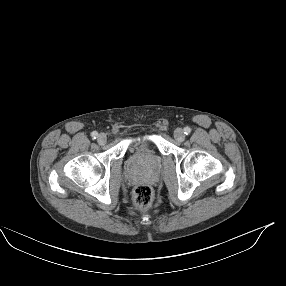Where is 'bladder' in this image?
Instances as JSON below:
<instances>
[{"label": "bladder", "instance_id": "bladder-1", "mask_svg": "<svg viewBox=\"0 0 286 286\" xmlns=\"http://www.w3.org/2000/svg\"><path fill=\"white\" fill-rule=\"evenodd\" d=\"M150 140H151V138H150V137H147V138H146V141H150Z\"/></svg>", "mask_w": 286, "mask_h": 286}]
</instances>
